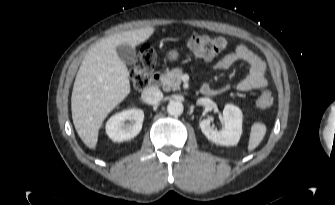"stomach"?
<instances>
[{
	"mask_svg": "<svg viewBox=\"0 0 335 205\" xmlns=\"http://www.w3.org/2000/svg\"><path fill=\"white\" fill-rule=\"evenodd\" d=\"M166 58L171 62L177 61L179 58V53L176 49H171L166 52Z\"/></svg>",
	"mask_w": 335,
	"mask_h": 205,
	"instance_id": "0dacf381",
	"label": "stomach"
}]
</instances>
